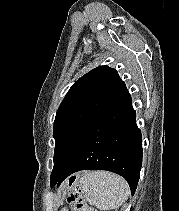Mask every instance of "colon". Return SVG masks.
<instances>
[{"mask_svg": "<svg viewBox=\"0 0 179 211\" xmlns=\"http://www.w3.org/2000/svg\"><path fill=\"white\" fill-rule=\"evenodd\" d=\"M83 190L77 178H71L68 183L67 201L75 211H97L83 199Z\"/></svg>", "mask_w": 179, "mask_h": 211, "instance_id": "1", "label": "colon"}]
</instances>
